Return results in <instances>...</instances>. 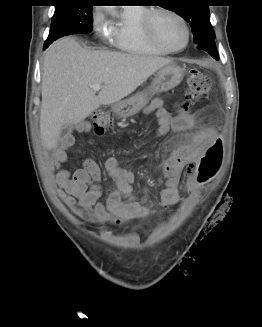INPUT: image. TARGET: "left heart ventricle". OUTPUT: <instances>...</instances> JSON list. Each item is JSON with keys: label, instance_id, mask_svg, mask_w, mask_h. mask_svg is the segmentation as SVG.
I'll use <instances>...</instances> for the list:
<instances>
[{"label": "left heart ventricle", "instance_id": "obj_1", "mask_svg": "<svg viewBox=\"0 0 262 327\" xmlns=\"http://www.w3.org/2000/svg\"><path fill=\"white\" fill-rule=\"evenodd\" d=\"M154 28L158 38L169 48H180L185 43L183 24L170 14L158 13L154 18Z\"/></svg>", "mask_w": 262, "mask_h": 327}]
</instances>
